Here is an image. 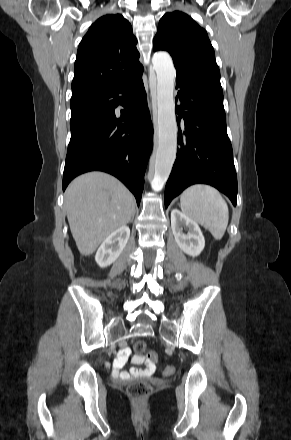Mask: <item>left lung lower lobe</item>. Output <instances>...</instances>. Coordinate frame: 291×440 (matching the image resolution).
<instances>
[{
  "instance_id": "1",
  "label": "left lung lower lobe",
  "mask_w": 291,
  "mask_h": 440,
  "mask_svg": "<svg viewBox=\"0 0 291 440\" xmlns=\"http://www.w3.org/2000/svg\"><path fill=\"white\" fill-rule=\"evenodd\" d=\"M176 88H180L176 99L181 102L176 106L179 147L165 188V207L196 183L214 186L236 206L237 175L227 135L223 94L180 80H176Z\"/></svg>"
}]
</instances>
